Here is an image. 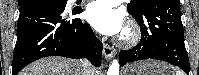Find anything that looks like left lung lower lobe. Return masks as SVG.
<instances>
[{"mask_svg": "<svg viewBox=\"0 0 199 75\" xmlns=\"http://www.w3.org/2000/svg\"><path fill=\"white\" fill-rule=\"evenodd\" d=\"M132 15L140 26L141 40L136 47L119 53L120 65L143 59H158L180 67L189 75L180 1L157 0L142 15Z\"/></svg>", "mask_w": 199, "mask_h": 75, "instance_id": "left-lung-lower-lobe-1", "label": "left lung lower lobe"}]
</instances>
